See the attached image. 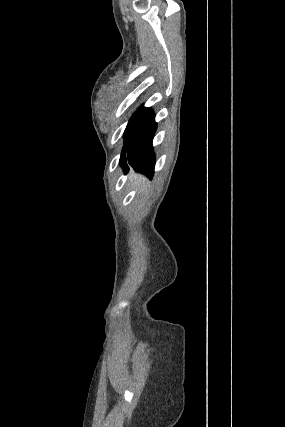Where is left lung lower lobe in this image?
<instances>
[{"label":"left lung lower lobe","instance_id":"1","mask_svg":"<svg viewBox=\"0 0 285 427\" xmlns=\"http://www.w3.org/2000/svg\"><path fill=\"white\" fill-rule=\"evenodd\" d=\"M157 123L155 115L150 108L143 111L127 126L124 136V146L120 157V165L125 172L131 165L149 177L154 174L155 156L152 140L156 131Z\"/></svg>","mask_w":285,"mask_h":427}]
</instances>
